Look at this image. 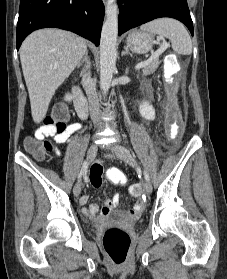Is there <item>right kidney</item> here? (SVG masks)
I'll return each mask as SVG.
<instances>
[{
	"label": "right kidney",
	"instance_id": "ca27d5eb",
	"mask_svg": "<svg viewBox=\"0 0 227 279\" xmlns=\"http://www.w3.org/2000/svg\"><path fill=\"white\" fill-rule=\"evenodd\" d=\"M66 101H68V102H70L71 100H72V96L69 94V93H67L66 95H65V98H64Z\"/></svg>",
	"mask_w": 227,
	"mask_h": 279
}]
</instances>
